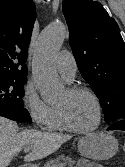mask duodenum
Instances as JSON below:
<instances>
[{
    "mask_svg": "<svg viewBox=\"0 0 125 167\" xmlns=\"http://www.w3.org/2000/svg\"><path fill=\"white\" fill-rule=\"evenodd\" d=\"M20 167H27L26 165H22V166H20Z\"/></svg>",
    "mask_w": 125,
    "mask_h": 167,
    "instance_id": "duodenum-1",
    "label": "duodenum"
}]
</instances>
